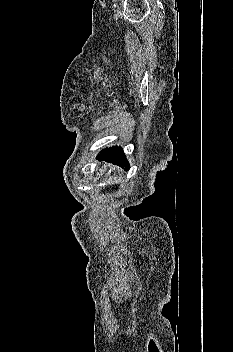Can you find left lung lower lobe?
<instances>
[{"label":"left lung lower lobe","mask_w":233,"mask_h":352,"mask_svg":"<svg viewBox=\"0 0 233 352\" xmlns=\"http://www.w3.org/2000/svg\"><path fill=\"white\" fill-rule=\"evenodd\" d=\"M97 158L100 160H106L113 164H117L122 168L126 167V169L129 170L128 160L125 157L123 149L120 147H111L103 149L100 152V155L97 156Z\"/></svg>","instance_id":"obj_1"}]
</instances>
